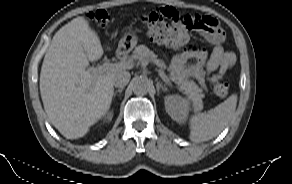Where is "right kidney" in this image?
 I'll use <instances>...</instances> for the list:
<instances>
[{"mask_svg": "<svg viewBox=\"0 0 292 184\" xmlns=\"http://www.w3.org/2000/svg\"><path fill=\"white\" fill-rule=\"evenodd\" d=\"M113 117V113L112 112H108L105 117H104V121H111Z\"/></svg>", "mask_w": 292, "mask_h": 184, "instance_id": "ca27d5eb", "label": "right kidney"}]
</instances>
